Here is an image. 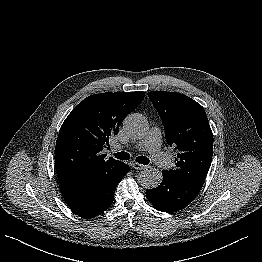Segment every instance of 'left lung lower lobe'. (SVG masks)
I'll return each instance as SVG.
<instances>
[{"instance_id": "1", "label": "left lung lower lobe", "mask_w": 262, "mask_h": 262, "mask_svg": "<svg viewBox=\"0 0 262 262\" xmlns=\"http://www.w3.org/2000/svg\"><path fill=\"white\" fill-rule=\"evenodd\" d=\"M201 187L170 176L163 170L162 183L146 190L147 199L162 212H175L185 208L197 196Z\"/></svg>"}]
</instances>
